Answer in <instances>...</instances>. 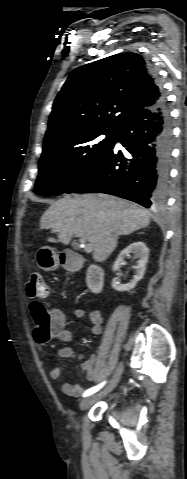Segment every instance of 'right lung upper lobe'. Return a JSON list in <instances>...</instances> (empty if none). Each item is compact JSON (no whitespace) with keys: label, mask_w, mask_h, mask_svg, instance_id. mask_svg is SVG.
Wrapping results in <instances>:
<instances>
[{"label":"right lung upper lobe","mask_w":187,"mask_h":479,"mask_svg":"<svg viewBox=\"0 0 187 479\" xmlns=\"http://www.w3.org/2000/svg\"><path fill=\"white\" fill-rule=\"evenodd\" d=\"M159 85L137 53L115 54L75 69L57 95L44 145L90 129H120L160 100Z\"/></svg>","instance_id":"cb5924a9"}]
</instances>
